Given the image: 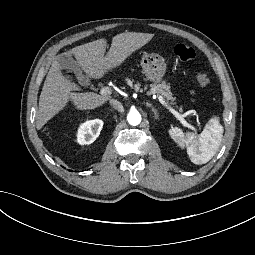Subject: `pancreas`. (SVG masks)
Segmentation results:
<instances>
[{"label": "pancreas", "mask_w": 255, "mask_h": 255, "mask_svg": "<svg viewBox=\"0 0 255 255\" xmlns=\"http://www.w3.org/2000/svg\"><path fill=\"white\" fill-rule=\"evenodd\" d=\"M127 84L133 88L136 92H143L145 90H147L148 86L145 85L144 88H141V84L139 82H137L136 84H133V80L126 78L125 79ZM152 94H157V95H162L164 96L168 101H175V97L172 96V93L170 91V86L168 84H166L165 81H162L161 83H153L150 84V90L147 91V95H152ZM174 104V103H172ZM180 112H182V108L179 109Z\"/></svg>", "instance_id": "cf45deb5"}]
</instances>
